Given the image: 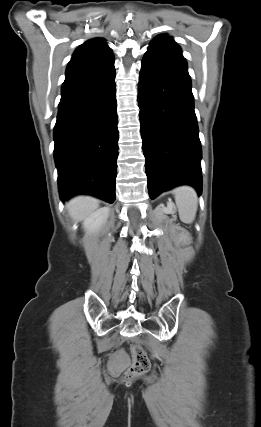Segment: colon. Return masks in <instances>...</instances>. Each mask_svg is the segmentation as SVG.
I'll list each match as a JSON object with an SVG mask.
<instances>
[{
  "mask_svg": "<svg viewBox=\"0 0 261 427\" xmlns=\"http://www.w3.org/2000/svg\"><path fill=\"white\" fill-rule=\"evenodd\" d=\"M132 365L125 372V377L132 378L143 375L150 368V360L142 348V346L135 344L132 346Z\"/></svg>",
  "mask_w": 261,
  "mask_h": 427,
  "instance_id": "obj_1",
  "label": "colon"
}]
</instances>
